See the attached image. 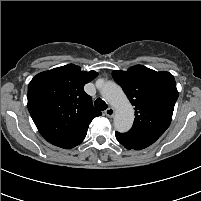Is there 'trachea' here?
Returning <instances> with one entry per match:
<instances>
[{
    "instance_id": "obj_1",
    "label": "trachea",
    "mask_w": 201,
    "mask_h": 201,
    "mask_svg": "<svg viewBox=\"0 0 201 201\" xmlns=\"http://www.w3.org/2000/svg\"><path fill=\"white\" fill-rule=\"evenodd\" d=\"M94 105L98 110H102V111L107 109V107H108L106 102L104 100H102L101 98L96 99L94 102Z\"/></svg>"
}]
</instances>
